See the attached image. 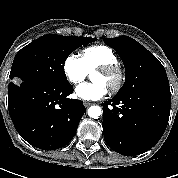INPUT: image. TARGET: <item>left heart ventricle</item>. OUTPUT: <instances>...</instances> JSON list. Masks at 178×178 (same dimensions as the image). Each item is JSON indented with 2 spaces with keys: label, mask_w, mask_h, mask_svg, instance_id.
Listing matches in <instances>:
<instances>
[{
  "label": "left heart ventricle",
  "mask_w": 178,
  "mask_h": 178,
  "mask_svg": "<svg viewBox=\"0 0 178 178\" xmlns=\"http://www.w3.org/2000/svg\"><path fill=\"white\" fill-rule=\"evenodd\" d=\"M92 81L94 83H103L104 85L108 87V89H110L113 84L112 77L105 75L103 73H99V72H96L92 75Z\"/></svg>",
  "instance_id": "left-heart-ventricle-1"
}]
</instances>
